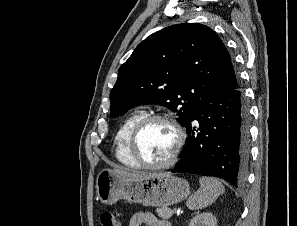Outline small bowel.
Wrapping results in <instances>:
<instances>
[{
  "mask_svg": "<svg viewBox=\"0 0 297 226\" xmlns=\"http://www.w3.org/2000/svg\"><path fill=\"white\" fill-rule=\"evenodd\" d=\"M170 226L169 223L163 219H158L154 215L146 212L134 213L130 220L129 226Z\"/></svg>",
  "mask_w": 297,
  "mask_h": 226,
  "instance_id": "obj_1",
  "label": "small bowel"
}]
</instances>
